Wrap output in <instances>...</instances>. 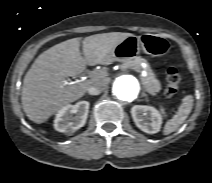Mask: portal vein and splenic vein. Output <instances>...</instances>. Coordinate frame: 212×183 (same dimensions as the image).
Returning a JSON list of instances; mask_svg holds the SVG:
<instances>
[{
	"mask_svg": "<svg viewBox=\"0 0 212 183\" xmlns=\"http://www.w3.org/2000/svg\"><path fill=\"white\" fill-rule=\"evenodd\" d=\"M90 74H91V75H96V74H98V72H97V71H93V72H91ZM76 82H81V81H76Z\"/></svg>",
	"mask_w": 212,
	"mask_h": 183,
	"instance_id": "obj_1",
	"label": "portal vein and splenic vein"
}]
</instances>
